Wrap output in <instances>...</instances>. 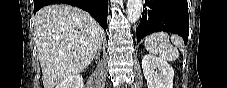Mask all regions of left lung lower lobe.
<instances>
[{"instance_id": "left-lung-lower-lobe-1", "label": "left lung lower lobe", "mask_w": 227, "mask_h": 88, "mask_svg": "<svg viewBox=\"0 0 227 88\" xmlns=\"http://www.w3.org/2000/svg\"><path fill=\"white\" fill-rule=\"evenodd\" d=\"M169 31L180 35L185 44L189 33L187 0H145L142 20L136 30L137 43L146 35Z\"/></svg>"}]
</instances>
